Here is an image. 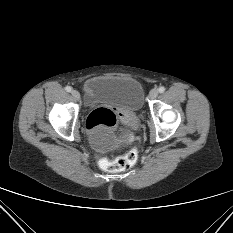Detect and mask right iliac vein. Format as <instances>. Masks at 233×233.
I'll list each match as a JSON object with an SVG mask.
<instances>
[{
	"instance_id": "63e3f726",
	"label": "right iliac vein",
	"mask_w": 233,
	"mask_h": 233,
	"mask_svg": "<svg viewBox=\"0 0 233 233\" xmlns=\"http://www.w3.org/2000/svg\"><path fill=\"white\" fill-rule=\"evenodd\" d=\"M71 93L76 100L80 99V93L77 90H72Z\"/></svg>"
}]
</instances>
